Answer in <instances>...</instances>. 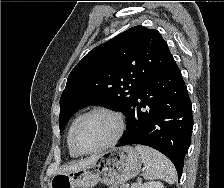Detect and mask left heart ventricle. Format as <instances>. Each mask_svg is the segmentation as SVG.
<instances>
[{"label": "left heart ventricle", "mask_w": 224, "mask_h": 188, "mask_svg": "<svg viewBox=\"0 0 224 188\" xmlns=\"http://www.w3.org/2000/svg\"><path fill=\"white\" fill-rule=\"evenodd\" d=\"M117 131L115 119L104 113L87 117L77 132V144L84 150L97 148L112 139Z\"/></svg>", "instance_id": "left-heart-ventricle-1"}]
</instances>
